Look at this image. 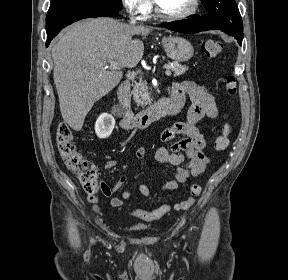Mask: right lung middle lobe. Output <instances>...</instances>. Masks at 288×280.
I'll return each mask as SVG.
<instances>
[{
	"mask_svg": "<svg viewBox=\"0 0 288 280\" xmlns=\"http://www.w3.org/2000/svg\"><path fill=\"white\" fill-rule=\"evenodd\" d=\"M67 1H71V0H51L50 8L54 7L58 4L67 2ZM96 1L107 4V5L115 8V9L121 10V8H122V1L121 0H96Z\"/></svg>",
	"mask_w": 288,
	"mask_h": 280,
	"instance_id": "right-lung-middle-lobe-1",
	"label": "right lung middle lobe"
}]
</instances>
